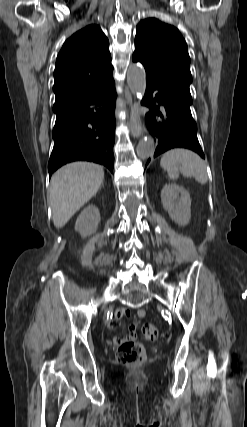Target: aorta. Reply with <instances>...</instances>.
<instances>
[{
	"label": "aorta",
	"instance_id": "aorta-1",
	"mask_svg": "<svg viewBox=\"0 0 247 427\" xmlns=\"http://www.w3.org/2000/svg\"><path fill=\"white\" fill-rule=\"evenodd\" d=\"M127 82L132 93L141 97L146 88V74L142 66L131 65L127 72ZM137 156L141 159L149 158L155 151V144L151 137L141 140L137 146Z\"/></svg>",
	"mask_w": 247,
	"mask_h": 427
}]
</instances>
